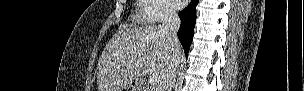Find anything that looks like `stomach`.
<instances>
[{"label":"stomach","mask_w":304,"mask_h":91,"mask_svg":"<svg viewBox=\"0 0 304 91\" xmlns=\"http://www.w3.org/2000/svg\"><path fill=\"white\" fill-rule=\"evenodd\" d=\"M123 90H125V91H133V90H131V88L129 86L123 87V89L121 91H123Z\"/></svg>","instance_id":"0dacf381"}]
</instances>
